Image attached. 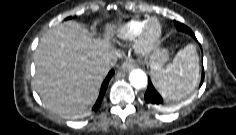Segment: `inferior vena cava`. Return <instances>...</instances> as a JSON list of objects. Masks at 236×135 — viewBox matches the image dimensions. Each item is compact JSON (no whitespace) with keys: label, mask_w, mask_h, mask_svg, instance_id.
<instances>
[{"label":"inferior vena cava","mask_w":236,"mask_h":135,"mask_svg":"<svg viewBox=\"0 0 236 135\" xmlns=\"http://www.w3.org/2000/svg\"><path fill=\"white\" fill-rule=\"evenodd\" d=\"M116 64V59L112 56L105 62V67L109 70Z\"/></svg>","instance_id":"obj_1"}]
</instances>
